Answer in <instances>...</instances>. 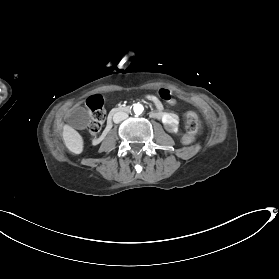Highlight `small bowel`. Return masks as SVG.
Masks as SVG:
<instances>
[{
	"label": "small bowel",
	"mask_w": 279,
	"mask_h": 279,
	"mask_svg": "<svg viewBox=\"0 0 279 279\" xmlns=\"http://www.w3.org/2000/svg\"><path fill=\"white\" fill-rule=\"evenodd\" d=\"M160 98L166 101L167 103L173 104L175 102L172 93L168 89H161L159 91ZM148 98L153 102L155 106V110L152 113V115L155 118L162 119L165 117V112L163 111V104L161 100L153 95L148 96ZM173 118H175V115H172Z\"/></svg>",
	"instance_id": "obj_1"
}]
</instances>
